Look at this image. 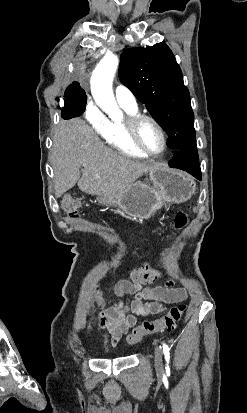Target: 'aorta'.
<instances>
[{"label": "aorta", "mask_w": 247, "mask_h": 413, "mask_svg": "<svg viewBox=\"0 0 247 413\" xmlns=\"http://www.w3.org/2000/svg\"><path fill=\"white\" fill-rule=\"evenodd\" d=\"M118 65L119 59L116 55L106 54L98 63L91 77L92 96L97 105L111 118H118L122 114L112 90V81Z\"/></svg>", "instance_id": "obj_1"}]
</instances>
